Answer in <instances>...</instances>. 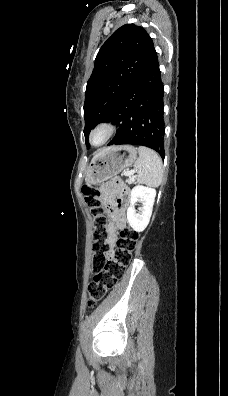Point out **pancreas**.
<instances>
[{
	"mask_svg": "<svg viewBox=\"0 0 228 396\" xmlns=\"http://www.w3.org/2000/svg\"><path fill=\"white\" fill-rule=\"evenodd\" d=\"M125 173H126V172H123V174H122V175H125ZM127 182H128V183H131V181H130V180H127Z\"/></svg>",
	"mask_w": 228,
	"mask_h": 396,
	"instance_id": "obj_1",
	"label": "pancreas"
}]
</instances>
